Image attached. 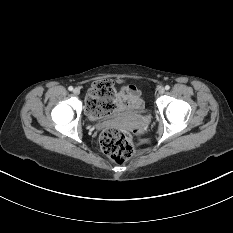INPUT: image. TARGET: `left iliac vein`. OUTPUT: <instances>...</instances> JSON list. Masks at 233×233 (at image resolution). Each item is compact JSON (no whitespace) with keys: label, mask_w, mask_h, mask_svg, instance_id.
<instances>
[{"label":"left iliac vein","mask_w":233,"mask_h":233,"mask_svg":"<svg viewBox=\"0 0 233 233\" xmlns=\"http://www.w3.org/2000/svg\"><path fill=\"white\" fill-rule=\"evenodd\" d=\"M158 92H159L160 95H162V94L165 93V89H164L163 87H160V88L158 89Z\"/></svg>","instance_id":"left-iliac-vein-1"}]
</instances>
